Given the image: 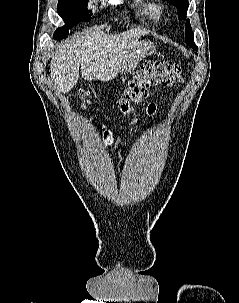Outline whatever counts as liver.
Segmentation results:
<instances>
[{
  "mask_svg": "<svg viewBox=\"0 0 239 303\" xmlns=\"http://www.w3.org/2000/svg\"><path fill=\"white\" fill-rule=\"evenodd\" d=\"M146 31L130 29L107 34L96 28L77 40L65 42L52 57L50 70L58 93H67L82 77L87 81H105L120 71L128 52L134 49Z\"/></svg>",
  "mask_w": 239,
  "mask_h": 303,
  "instance_id": "6515ba94",
  "label": "liver"
}]
</instances>
